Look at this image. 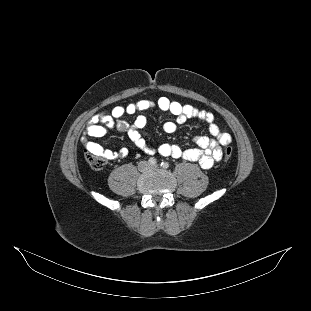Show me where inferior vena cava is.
Instances as JSON below:
<instances>
[{"mask_svg":"<svg viewBox=\"0 0 311 311\" xmlns=\"http://www.w3.org/2000/svg\"><path fill=\"white\" fill-rule=\"evenodd\" d=\"M137 168H138L140 171H146V170L149 168V165H148V163H147L145 160H140V161L137 163Z\"/></svg>","mask_w":311,"mask_h":311,"instance_id":"1","label":"inferior vena cava"}]
</instances>
